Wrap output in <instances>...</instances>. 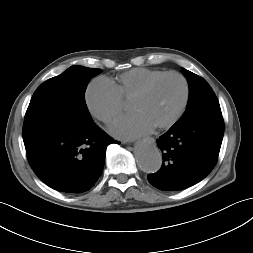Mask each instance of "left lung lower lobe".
Listing matches in <instances>:
<instances>
[{"label": "left lung lower lobe", "instance_id": "obj_1", "mask_svg": "<svg viewBox=\"0 0 253 253\" xmlns=\"http://www.w3.org/2000/svg\"><path fill=\"white\" fill-rule=\"evenodd\" d=\"M224 134L223 120L174 124L157 140L162 168L148 175L156 188L176 191L203 180L214 168Z\"/></svg>", "mask_w": 253, "mask_h": 253}]
</instances>
